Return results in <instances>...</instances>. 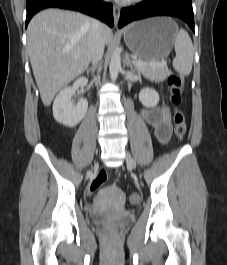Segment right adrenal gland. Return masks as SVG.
Wrapping results in <instances>:
<instances>
[{
  "instance_id": "right-adrenal-gland-1",
  "label": "right adrenal gland",
  "mask_w": 227,
  "mask_h": 265,
  "mask_svg": "<svg viewBox=\"0 0 227 265\" xmlns=\"http://www.w3.org/2000/svg\"><path fill=\"white\" fill-rule=\"evenodd\" d=\"M95 69H96V66H92V67L88 68L86 71H87V73H93L95 71Z\"/></svg>"
}]
</instances>
